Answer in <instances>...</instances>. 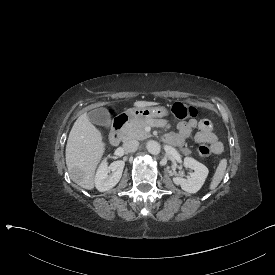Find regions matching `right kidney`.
Instances as JSON below:
<instances>
[{
    "label": "right kidney",
    "mask_w": 275,
    "mask_h": 275,
    "mask_svg": "<svg viewBox=\"0 0 275 275\" xmlns=\"http://www.w3.org/2000/svg\"><path fill=\"white\" fill-rule=\"evenodd\" d=\"M125 166L124 161H114L109 166L107 160L104 159L95 175V186L98 191L104 192L113 188L121 179ZM111 172V174H109Z\"/></svg>",
    "instance_id": "obj_1"
}]
</instances>
